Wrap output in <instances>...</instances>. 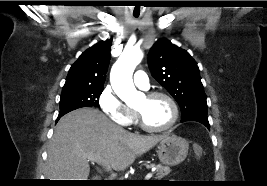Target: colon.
<instances>
[{"label":"colon","mask_w":267,"mask_h":186,"mask_svg":"<svg viewBox=\"0 0 267 186\" xmlns=\"http://www.w3.org/2000/svg\"><path fill=\"white\" fill-rule=\"evenodd\" d=\"M193 151L197 157L201 156L203 154L202 147L199 144L193 145Z\"/></svg>","instance_id":"5ec220e1"}]
</instances>
